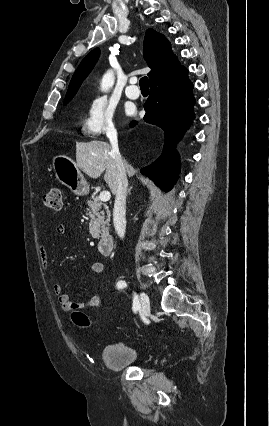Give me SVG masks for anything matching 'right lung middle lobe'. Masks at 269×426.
<instances>
[{"instance_id":"dd1d6c3e","label":"right lung middle lobe","mask_w":269,"mask_h":426,"mask_svg":"<svg viewBox=\"0 0 269 426\" xmlns=\"http://www.w3.org/2000/svg\"><path fill=\"white\" fill-rule=\"evenodd\" d=\"M72 99V97L71 98H66L65 100H64V104H67L70 100Z\"/></svg>"}]
</instances>
